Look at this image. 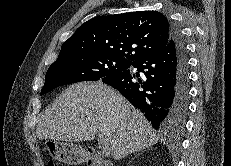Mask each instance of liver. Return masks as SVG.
Instances as JSON below:
<instances>
[{
  "label": "liver",
  "instance_id": "obj_1",
  "mask_svg": "<svg viewBox=\"0 0 231 166\" xmlns=\"http://www.w3.org/2000/svg\"><path fill=\"white\" fill-rule=\"evenodd\" d=\"M102 134L115 160L155 145L159 138L144 115L101 81L69 86L40 115V140L91 141Z\"/></svg>",
  "mask_w": 231,
  "mask_h": 166
}]
</instances>
